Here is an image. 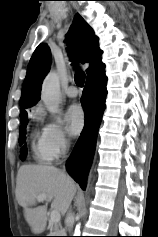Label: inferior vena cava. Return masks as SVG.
<instances>
[{"mask_svg":"<svg viewBox=\"0 0 158 237\" xmlns=\"http://www.w3.org/2000/svg\"><path fill=\"white\" fill-rule=\"evenodd\" d=\"M67 146V143H65V147ZM74 217V214L72 213L71 210L68 211L67 213V217H66V227L68 229H71L72 228V219Z\"/></svg>","mask_w":158,"mask_h":237,"instance_id":"602c4592","label":"inferior vena cava"}]
</instances>
